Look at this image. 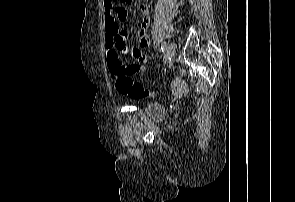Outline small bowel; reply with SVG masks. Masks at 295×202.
Returning a JSON list of instances; mask_svg holds the SVG:
<instances>
[{
    "instance_id": "small-bowel-1",
    "label": "small bowel",
    "mask_w": 295,
    "mask_h": 202,
    "mask_svg": "<svg viewBox=\"0 0 295 202\" xmlns=\"http://www.w3.org/2000/svg\"><path fill=\"white\" fill-rule=\"evenodd\" d=\"M139 10L142 21L137 30L138 46L131 48L126 45V33L120 29V24L127 18L126 8L123 5L115 4L113 0L104 1L105 45L107 62L112 74V66L119 63L124 64L122 61L124 58L131 61L126 65L131 67L132 76L145 70L147 56L142 52V49L149 44V7L147 4H141Z\"/></svg>"
}]
</instances>
